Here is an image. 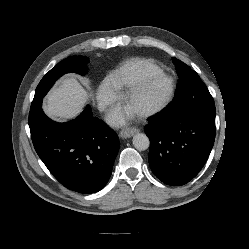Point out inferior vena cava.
Segmentation results:
<instances>
[{
	"label": "inferior vena cava",
	"instance_id": "inferior-vena-cava-1",
	"mask_svg": "<svg viewBox=\"0 0 249 249\" xmlns=\"http://www.w3.org/2000/svg\"><path fill=\"white\" fill-rule=\"evenodd\" d=\"M107 105H108V102H99L98 109L100 111H104Z\"/></svg>",
	"mask_w": 249,
	"mask_h": 249
}]
</instances>
